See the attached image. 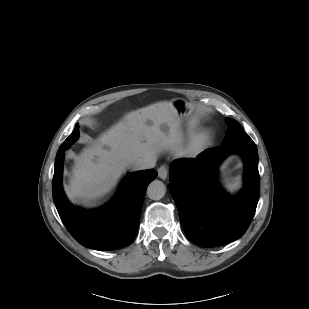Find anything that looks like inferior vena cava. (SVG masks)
Segmentation results:
<instances>
[{
  "label": "inferior vena cava",
  "mask_w": 309,
  "mask_h": 309,
  "mask_svg": "<svg viewBox=\"0 0 309 309\" xmlns=\"http://www.w3.org/2000/svg\"><path fill=\"white\" fill-rule=\"evenodd\" d=\"M155 158L140 159L134 162L133 167L135 170H143L153 168L155 166Z\"/></svg>",
  "instance_id": "inferior-vena-cava-1"
}]
</instances>
